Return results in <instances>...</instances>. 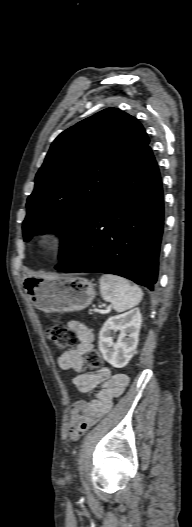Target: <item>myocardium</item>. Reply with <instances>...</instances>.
Returning <instances> with one entry per match:
<instances>
[{
	"mask_svg": "<svg viewBox=\"0 0 192 527\" xmlns=\"http://www.w3.org/2000/svg\"><path fill=\"white\" fill-rule=\"evenodd\" d=\"M64 241L62 232L50 230L40 236L39 245L45 253H55L60 250Z\"/></svg>",
	"mask_w": 192,
	"mask_h": 527,
	"instance_id": "myocardium-1",
	"label": "myocardium"
}]
</instances>
